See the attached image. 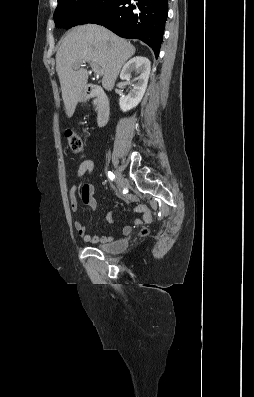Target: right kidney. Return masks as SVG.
Wrapping results in <instances>:
<instances>
[{
  "label": "right kidney",
  "mask_w": 254,
  "mask_h": 397,
  "mask_svg": "<svg viewBox=\"0 0 254 397\" xmlns=\"http://www.w3.org/2000/svg\"><path fill=\"white\" fill-rule=\"evenodd\" d=\"M151 63L149 59L143 56H136L130 59L122 68L120 78L122 80H129L131 73L139 74L137 83L133 85V89L128 95H123L119 99V105L123 112L136 107L142 100L147 88V83L150 75Z\"/></svg>",
  "instance_id": "obj_1"
}]
</instances>
